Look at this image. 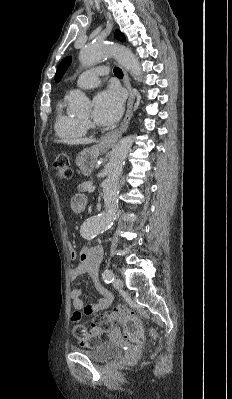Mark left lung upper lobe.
<instances>
[{"label": "left lung upper lobe", "instance_id": "1", "mask_svg": "<svg viewBox=\"0 0 232 399\" xmlns=\"http://www.w3.org/2000/svg\"><path fill=\"white\" fill-rule=\"evenodd\" d=\"M115 38L120 40V41H125L124 35L120 31H116L115 33ZM71 62V57H66L58 66L56 75H55V81L59 82L60 79L62 78L63 74L67 70L69 64Z\"/></svg>", "mask_w": 232, "mask_h": 399}]
</instances>
